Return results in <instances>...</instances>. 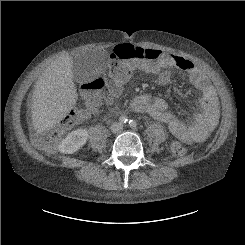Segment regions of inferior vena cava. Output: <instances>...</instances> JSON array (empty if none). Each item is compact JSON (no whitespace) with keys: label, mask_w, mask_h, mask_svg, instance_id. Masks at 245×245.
<instances>
[{"label":"inferior vena cava","mask_w":245,"mask_h":245,"mask_svg":"<svg viewBox=\"0 0 245 245\" xmlns=\"http://www.w3.org/2000/svg\"><path fill=\"white\" fill-rule=\"evenodd\" d=\"M123 130V125L121 123H114L111 126V131L113 133H120Z\"/></svg>","instance_id":"inferior-vena-cava-1"}]
</instances>
